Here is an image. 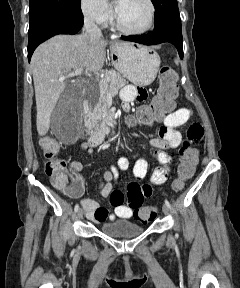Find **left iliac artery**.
<instances>
[{
	"mask_svg": "<svg viewBox=\"0 0 240 288\" xmlns=\"http://www.w3.org/2000/svg\"><path fill=\"white\" fill-rule=\"evenodd\" d=\"M165 205L168 207V208H171V204L168 200H165Z\"/></svg>",
	"mask_w": 240,
	"mask_h": 288,
	"instance_id": "1",
	"label": "left iliac artery"
}]
</instances>
